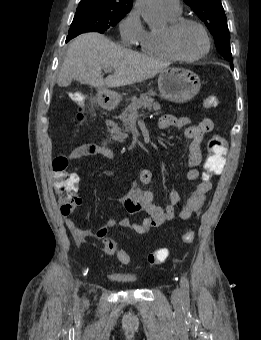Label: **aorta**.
<instances>
[{
  "label": "aorta",
  "mask_w": 261,
  "mask_h": 340,
  "mask_svg": "<svg viewBox=\"0 0 261 340\" xmlns=\"http://www.w3.org/2000/svg\"><path fill=\"white\" fill-rule=\"evenodd\" d=\"M136 6L144 21L149 25L160 24L162 22L159 0H137Z\"/></svg>",
  "instance_id": "aorta-1"
}]
</instances>
